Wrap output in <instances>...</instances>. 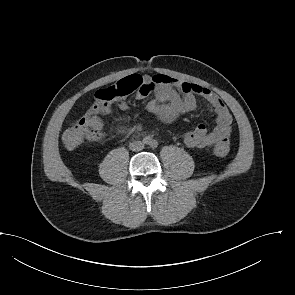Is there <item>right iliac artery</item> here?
<instances>
[{"mask_svg": "<svg viewBox=\"0 0 295 295\" xmlns=\"http://www.w3.org/2000/svg\"><path fill=\"white\" fill-rule=\"evenodd\" d=\"M150 142H151V139L149 137H145L143 139V143H145V144H150Z\"/></svg>", "mask_w": 295, "mask_h": 295, "instance_id": "1", "label": "right iliac artery"}]
</instances>
